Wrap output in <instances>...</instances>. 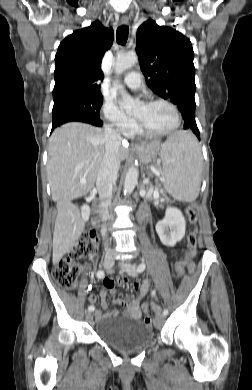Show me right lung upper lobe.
Masks as SVG:
<instances>
[{"instance_id":"cb5924a9","label":"right lung upper lobe","mask_w":252,"mask_h":390,"mask_svg":"<svg viewBox=\"0 0 252 390\" xmlns=\"http://www.w3.org/2000/svg\"><path fill=\"white\" fill-rule=\"evenodd\" d=\"M113 39V29L95 21L60 43L55 56L54 101L78 95L102 96L100 63Z\"/></svg>"}]
</instances>
